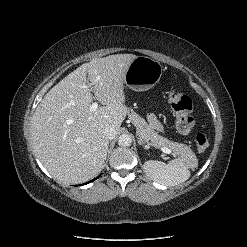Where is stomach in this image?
<instances>
[{
    "mask_svg": "<svg viewBox=\"0 0 247 247\" xmlns=\"http://www.w3.org/2000/svg\"><path fill=\"white\" fill-rule=\"evenodd\" d=\"M162 71V65L158 61L147 56H138L130 63L124 83L133 91H146L160 81Z\"/></svg>",
    "mask_w": 247,
    "mask_h": 247,
    "instance_id": "1",
    "label": "stomach"
}]
</instances>
